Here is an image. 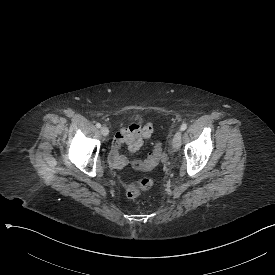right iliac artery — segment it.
<instances>
[{"label":"right iliac artery","mask_w":275,"mask_h":275,"mask_svg":"<svg viewBox=\"0 0 275 275\" xmlns=\"http://www.w3.org/2000/svg\"><path fill=\"white\" fill-rule=\"evenodd\" d=\"M96 127H97V128H100V127H101V124H100V123H96Z\"/></svg>","instance_id":"1"}]
</instances>
